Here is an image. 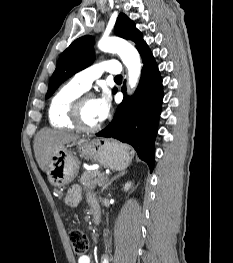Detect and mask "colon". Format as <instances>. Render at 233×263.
Returning <instances> with one entry per match:
<instances>
[{"label": "colon", "instance_id": "5ec220e1", "mask_svg": "<svg viewBox=\"0 0 233 263\" xmlns=\"http://www.w3.org/2000/svg\"><path fill=\"white\" fill-rule=\"evenodd\" d=\"M69 238L72 244L73 253L77 258L86 255L89 248V241L86 234L77 228L69 230Z\"/></svg>", "mask_w": 233, "mask_h": 263}]
</instances>
